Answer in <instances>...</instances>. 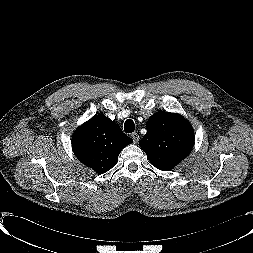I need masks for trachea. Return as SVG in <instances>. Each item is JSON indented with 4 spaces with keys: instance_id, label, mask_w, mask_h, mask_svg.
Wrapping results in <instances>:
<instances>
[{
    "instance_id": "obj_1",
    "label": "trachea",
    "mask_w": 253,
    "mask_h": 253,
    "mask_svg": "<svg viewBox=\"0 0 253 253\" xmlns=\"http://www.w3.org/2000/svg\"><path fill=\"white\" fill-rule=\"evenodd\" d=\"M134 130H135V124H134L133 120H131V119L126 120L124 123V131L126 133H132V132H134Z\"/></svg>"
}]
</instances>
